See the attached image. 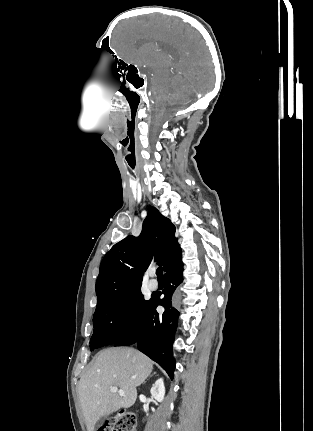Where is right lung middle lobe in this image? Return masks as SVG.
<instances>
[{
    "instance_id": "right-lung-middle-lobe-1",
    "label": "right lung middle lobe",
    "mask_w": 313,
    "mask_h": 431,
    "mask_svg": "<svg viewBox=\"0 0 313 431\" xmlns=\"http://www.w3.org/2000/svg\"><path fill=\"white\" fill-rule=\"evenodd\" d=\"M148 303L140 288L97 303L90 350L113 344L123 337L138 323Z\"/></svg>"
}]
</instances>
